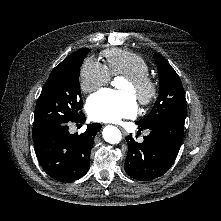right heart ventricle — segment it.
<instances>
[{"mask_svg": "<svg viewBox=\"0 0 221 221\" xmlns=\"http://www.w3.org/2000/svg\"><path fill=\"white\" fill-rule=\"evenodd\" d=\"M104 66L110 76H132L149 73L150 66L144 57L126 49L113 48L103 51Z\"/></svg>", "mask_w": 221, "mask_h": 221, "instance_id": "e07e8e85", "label": "right heart ventricle"}]
</instances>
